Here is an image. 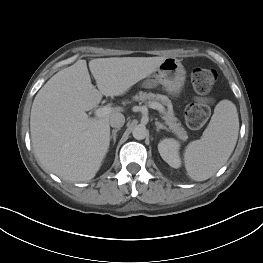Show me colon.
Here are the masks:
<instances>
[{"label": "colon", "instance_id": "1", "mask_svg": "<svg viewBox=\"0 0 263 263\" xmlns=\"http://www.w3.org/2000/svg\"><path fill=\"white\" fill-rule=\"evenodd\" d=\"M217 79V73L213 69L196 68L193 70L191 80L194 89L201 95L207 94ZM209 116L208 105L201 101L188 106L185 117L189 127L197 129L202 127Z\"/></svg>", "mask_w": 263, "mask_h": 263}]
</instances>
